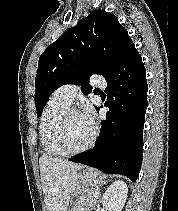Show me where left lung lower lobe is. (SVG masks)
Wrapping results in <instances>:
<instances>
[{"mask_svg":"<svg viewBox=\"0 0 178 211\" xmlns=\"http://www.w3.org/2000/svg\"><path fill=\"white\" fill-rule=\"evenodd\" d=\"M105 79L107 101L104 105L109 111L106 120L101 121L97 145L69 160L136 181L143 158L148 86L146 70L135 46Z\"/></svg>","mask_w":178,"mask_h":211,"instance_id":"1","label":"left lung lower lobe"}]
</instances>
